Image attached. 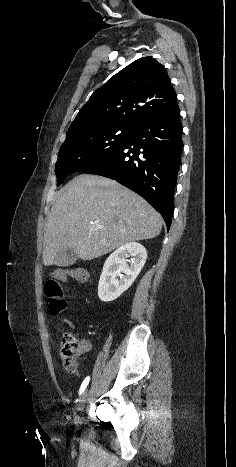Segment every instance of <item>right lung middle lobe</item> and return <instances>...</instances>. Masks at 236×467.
Returning a JSON list of instances; mask_svg holds the SVG:
<instances>
[{
  "instance_id": "dd1d6c3e",
  "label": "right lung middle lobe",
  "mask_w": 236,
  "mask_h": 467,
  "mask_svg": "<svg viewBox=\"0 0 236 467\" xmlns=\"http://www.w3.org/2000/svg\"><path fill=\"white\" fill-rule=\"evenodd\" d=\"M135 128L109 126L67 135L55 165L57 186L68 175L83 171L110 156L132 135Z\"/></svg>"
}]
</instances>
